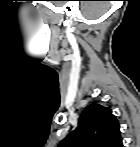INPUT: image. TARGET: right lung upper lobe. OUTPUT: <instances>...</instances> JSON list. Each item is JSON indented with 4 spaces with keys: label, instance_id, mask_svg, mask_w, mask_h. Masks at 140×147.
<instances>
[{
    "label": "right lung upper lobe",
    "instance_id": "right-lung-upper-lobe-1",
    "mask_svg": "<svg viewBox=\"0 0 140 147\" xmlns=\"http://www.w3.org/2000/svg\"><path fill=\"white\" fill-rule=\"evenodd\" d=\"M119 122L112 110L98 103L88 105L78 127L64 138L59 147H122Z\"/></svg>",
    "mask_w": 140,
    "mask_h": 147
}]
</instances>
